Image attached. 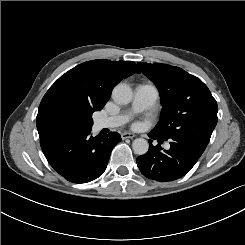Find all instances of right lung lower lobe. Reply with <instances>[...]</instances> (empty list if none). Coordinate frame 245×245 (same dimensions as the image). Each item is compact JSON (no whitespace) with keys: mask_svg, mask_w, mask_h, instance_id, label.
Segmentation results:
<instances>
[{"mask_svg":"<svg viewBox=\"0 0 245 245\" xmlns=\"http://www.w3.org/2000/svg\"><path fill=\"white\" fill-rule=\"evenodd\" d=\"M90 131H60L40 138L49 164L72 183H86L100 177L107 167L113 147L121 140L117 132L93 137Z\"/></svg>","mask_w":245,"mask_h":245,"instance_id":"obj_1","label":"right lung lower lobe"}]
</instances>
